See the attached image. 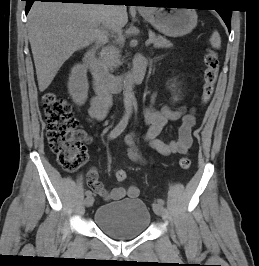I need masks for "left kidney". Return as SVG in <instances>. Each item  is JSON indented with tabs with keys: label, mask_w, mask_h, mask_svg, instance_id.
Listing matches in <instances>:
<instances>
[{
	"label": "left kidney",
	"mask_w": 259,
	"mask_h": 266,
	"mask_svg": "<svg viewBox=\"0 0 259 266\" xmlns=\"http://www.w3.org/2000/svg\"><path fill=\"white\" fill-rule=\"evenodd\" d=\"M169 88L172 90V88H175V84H171V85L169 86ZM172 91H174V90H172ZM173 100H174V101H177V100H178V96L175 95V96L173 97Z\"/></svg>",
	"instance_id": "obj_1"
}]
</instances>
